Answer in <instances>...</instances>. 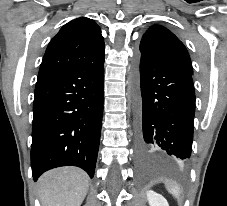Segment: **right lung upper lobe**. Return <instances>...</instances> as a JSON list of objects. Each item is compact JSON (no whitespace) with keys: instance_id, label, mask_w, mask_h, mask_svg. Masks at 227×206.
Listing matches in <instances>:
<instances>
[{"instance_id":"right-lung-upper-lobe-1","label":"right lung upper lobe","mask_w":227,"mask_h":206,"mask_svg":"<svg viewBox=\"0 0 227 206\" xmlns=\"http://www.w3.org/2000/svg\"><path fill=\"white\" fill-rule=\"evenodd\" d=\"M104 39L92 19L80 17L64 25L50 41L38 79L92 65L104 59Z\"/></svg>"}]
</instances>
